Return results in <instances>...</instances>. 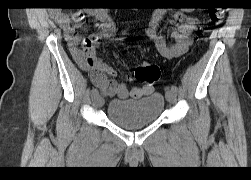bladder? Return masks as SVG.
Segmentation results:
<instances>
[{
  "label": "bladder",
  "instance_id": "bladder-1",
  "mask_svg": "<svg viewBox=\"0 0 251 180\" xmlns=\"http://www.w3.org/2000/svg\"><path fill=\"white\" fill-rule=\"evenodd\" d=\"M164 107V96L154 92L139 100H111L107 106V116L110 121L122 128L135 129L157 121Z\"/></svg>",
  "mask_w": 251,
  "mask_h": 180
}]
</instances>
